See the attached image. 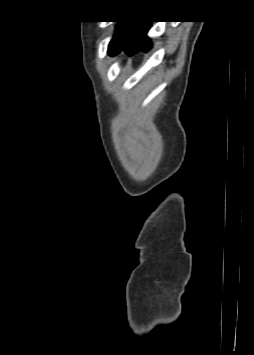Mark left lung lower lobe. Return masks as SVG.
Masks as SVG:
<instances>
[{"label": "left lung lower lobe", "instance_id": "1", "mask_svg": "<svg viewBox=\"0 0 254 355\" xmlns=\"http://www.w3.org/2000/svg\"><path fill=\"white\" fill-rule=\"evenodd\" d=\"M151 26L150 21H131L125 27L122 36L114 46L111 55H116L120 51H125L128 55H133L138 51H148L151 42L146 36Z\"/></svg>", "mask_w": 254, "mask_h": 355}]
</instances>
